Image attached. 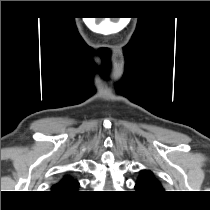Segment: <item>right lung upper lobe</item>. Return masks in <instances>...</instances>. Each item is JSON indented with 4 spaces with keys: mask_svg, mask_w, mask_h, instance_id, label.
<instances>
[{
    "mask_svg": "<svg viewBox=\"0 0 210 210\" xmlns=\"http://www.w3.org/2000/svg\"><path fill=\"white\" fill-rule=\"evenodd\" d=\"M79 183L71 176H64L58 183L52 186V190L57 194H69L77 192Z\"/></svg>",
    "mask_w": 210,
    "mask_h": 210,
    "instance_id": "cb5924a9",
    "label": "right lung upper lobe"
}]
</instances>
